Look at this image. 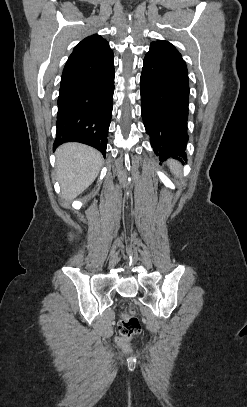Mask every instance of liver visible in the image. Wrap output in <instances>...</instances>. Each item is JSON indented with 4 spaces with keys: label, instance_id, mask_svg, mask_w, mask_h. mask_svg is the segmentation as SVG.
Returning a JSON list of instances; mask_svg holds the SVG:
<instances>
[{
    "label": "liver",
    "instance_id": "liver-1",
    "mask_svg": "<svg viewBox=\"0 0 247 407\" xmlns=\"http://www.w3.org/2000/svg\"><path fill=\"white\" fill-rule=\"evenodd\" d=\"M56 176L64 200L71 201L96 179L103 164L99 151L80 143H66L56 151Z\"/></svg>",
    "mask_w": 247,
    "mask_h": 407
}]
</instances>
